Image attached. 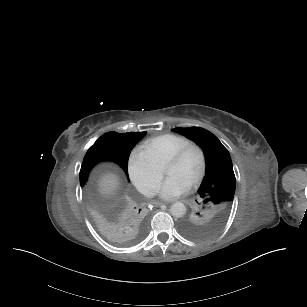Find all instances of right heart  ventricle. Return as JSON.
Segmentation results:
<instances>
[{"label": "right heart ventricle", "mask_w": 307, "mask_h": 307, "mask_svg": "<svg viewBox=\"0 0 307 307\" xmlns=\"http://www.w3.org/2000/svg\"><path fill=\"white\" fill-rule=\"evenodd\" d=\"M192 139L181 134H165L160 138V148L158 151V159L164 161L165 158L176 152L183 145L189 143Z\"/></svg>", "instance_id": "e07e8e85"}]
</instances>
